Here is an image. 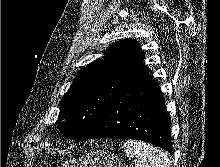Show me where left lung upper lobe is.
I'll return each mask as SVG.
<instances>
[{"label": "left lung upper lobe", "mask_w": 220, "mask_h": 167, "mask_svg": "<svg viewBox=\"0 0 220 167\" xmlns=\"http://www.w3.org/2000/svg\"><path fill=\"white\" fill-rule=\"evenodd\" d=\"M138 46L136 41L120 40L110 46L104 60L99 58L79 71L60 102L56 123L61 134L82 140L119 92L149 73Z\"/></svg>", "instance_id": "1"}]
</instances>
